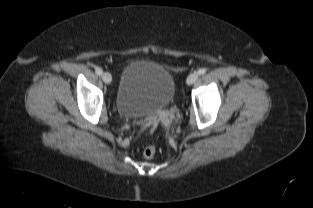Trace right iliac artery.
Segmentation results:
<instances>
[{"mask_svg": "<svg viewBox=\"0 0 313 208\" xmlns=\"http://www.w3.org/2000/svg\"><path fill=\"white\" fill-rule=\"evenodd\" d=\"M95 72H96L97 75L100 76V75H102L103 70H102L101 68H99V67H96V68H95Z\"/></svg>", "mask_w": 313, "mask_h": 208, "instance_id": "right-iliac-artery-1", "label": "right iliac artery"}]
</instances>
